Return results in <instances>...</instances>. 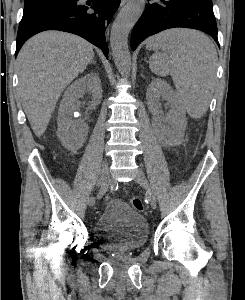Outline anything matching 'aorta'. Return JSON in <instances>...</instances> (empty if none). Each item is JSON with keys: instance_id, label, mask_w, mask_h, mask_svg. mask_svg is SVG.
I'll return each instance as SVG.
<instances>
[{"instance_id": "762f6f07", "label": "aorta", "mask_w": 245, "mask_h": 300, "mask_svg": "<svg viewBox=\"0 0 245 300\" xmlns=\"http://www.w3.org/2000/svg\"><path fill=\"white\" fill-rule=\"evenodd\" d=\"M146 0H130L116 17L110 35L111 51L114 62L122 75L130 72L131 57L128 35L142 15Z\"/></svg>"}]
</instances>
